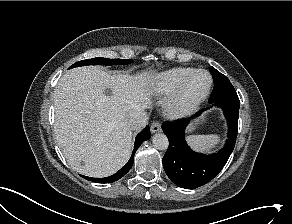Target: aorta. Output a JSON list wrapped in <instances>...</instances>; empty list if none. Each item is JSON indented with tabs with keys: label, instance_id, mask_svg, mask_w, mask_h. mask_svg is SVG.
<instances>
[{
	"label": "aorta",
	"instance_id": "762f6f07",
	"mask_svg": "<svg viewBox=\"0 0 292 224\" xmlns=\"http://www.w3.org/2000/svg\"><path fill=\"white\" fill-rule=\"evenodd\" d=\"M152 142L155 148L158 150H166L169 146L168 138L165 134L158 133L152 138Z\"/></svg>",
	"mask_w": 292,
	"mask_h": 224
}]
</instances>
